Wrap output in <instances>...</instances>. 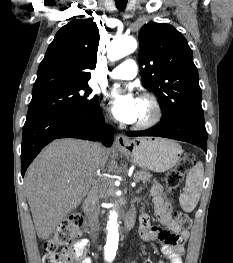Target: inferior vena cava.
<instances>
[{"instance_id":"obj_1","label":"inferior vena cava","mask_w":233,"mask_h":263,"mask_svg":"<svg viewBox=\"0 0 233 263\" xmlns=\"http://www.w3.org/2000/svg\"><path fill=\"white\" fill-rule=\"evenodd\" d=\"M93 148L97 154L104 150L100 143H93ZM83 209L88 218L90 227L92 228L93 238L97 239L96 227L99 224L100 205L98 188L96 186L95 180L93 181V186L88 193L86 200L84 201Z\"/></svg>"}]
</instances>
